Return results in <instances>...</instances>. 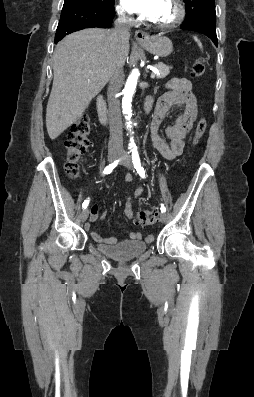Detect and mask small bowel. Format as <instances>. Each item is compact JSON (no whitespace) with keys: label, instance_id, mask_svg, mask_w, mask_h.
<instances>
[{"label":"small bowel","instance_id":"1","mask_svg":"<svg viewBox=\"0 0 254 397\" xmlns=\"http://www.w3.org/2000/svg\"><path fill=\"white\" fill-rule=\"evenodd\" d=\"M166 88L168 91L156 103L151 122V143L165 159L173 160L183 153L184 140L197 117V100L192 91V84L188 79H170L166 84ZM174 105H184L185 109L175 124L166 127L165 134L170 139V143H167L159 136L158 130L169 109ZM132 179L131 174L125 176V181L128 183ZM143 190V187L140 186L133 195L127 194L124 212L130 219L133 218L132 200L137 199L143 193ZM103 217L104 215L99 213L97 205H92L89 217L90 223L100 221ZM90 223L85 225V229L90 233L93 240L103 244H114L117 242L114 237H105L92 230ZM129 238L131 240H140L141 234L139 232H131Z\"/></svg>","mask_w":254,"mask_h":397}]
</instances>
